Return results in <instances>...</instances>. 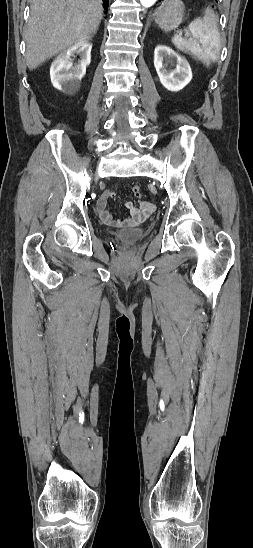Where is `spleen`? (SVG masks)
<instances>
[{"instance_id": "1", "label": "spleen", "mask_w": 253, "mask_h": 548, "mask_svg": "<svg viewBox=\"0 0 253 548\" xmlns=\"http://www.w3.org/2000/svg\"><path fill=\"white\" fill-rule=\"evenodd\" d=\"M191 37L183 39L178 35L172 38L174 45L181 51L194 55L206 66L220 57L221 41L217 17L207 8L203 18L194 19L188 26Z\"/></svg>"}]
</instances>
